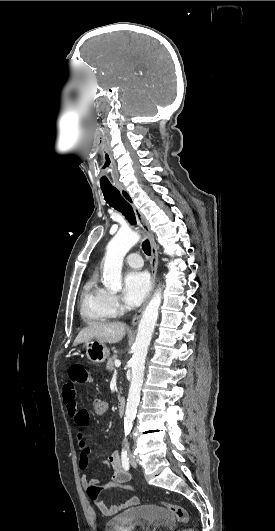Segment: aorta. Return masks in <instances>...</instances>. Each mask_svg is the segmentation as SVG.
Instances as JSON below:
<instances>
[{"label": "aorta", "instance_id": "1", "mask_svg": "<svg viewBox=\"0 0 275 531\" xmlns=\"http://www.w3.org/2000/svg\"><path fill=\"white\" fill-rule=\"evenodd\" d=\"M139 239L138 233L128 229V231H118L117 235L108 243L103 259V285L108 291H120L122 289L121 271L124 257L138 243ZM160 305L161 289H156L151 301L143 311L134 343V353L131 359V383L124 417V429L127 433H130L136 417L144 379V365L157 323Z\"/></svg>", "mask_w": 275, "mask_h": 531}]
</instances>
